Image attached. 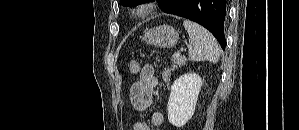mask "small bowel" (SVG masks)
I'll return each instance as SVG.
<instances>
[{
  "instance_id": "small-bowel-1",
  "label": "small bowel",
  "mask_w": 299,
  "mask_h": 130,
  "mask_svg": "<svg viewBox=\"0 0 299 130\" xmlns=\"http://www.w3.org/2000/svg\"><path fill=\"white\" fill-rule=\"evenodd\" d=\"M158 84L155 69L152 64H145L137 81L130 88V99L138 111H147L152 105L153 92ZM163 122L162 113L155 111L151 114V123L160 126ZM133 130H150L147 123L138 121L133 124Z\"/></svg>"
}]
</instances>
